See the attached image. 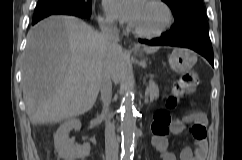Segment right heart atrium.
Listing matches in <instances>:
<instances>
[{
    "label": "right heart atrium",
    "instance_id": "d8ad5b80",
    "mask_svg": "<svg viewBox=\"0 0 242 160\" xmlns=\"http://www.w3.org/2000/svg\"><path fill=\"white\" fill-rule=\"evenodd\" d=\"M100 22L104 27H113L114 26V22L110 17L107 16H102L100 17Z\"/></svg>",
    "mask_w": 242,
    "mask_h": 160
}]
</instances>
